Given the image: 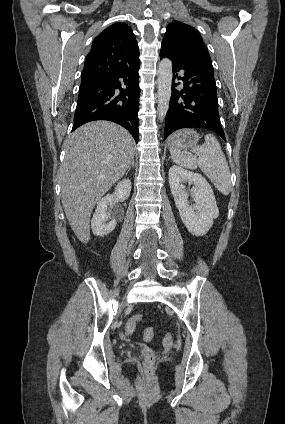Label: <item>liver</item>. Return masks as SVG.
Here are the masks:
<instances>
[{"mask_svg":"<svg viewBox=\"0 0 285 424\" xmlns=\"http://www.w3.org/2000/svg\"><path fill=\"white\" fill-rule=\"evenodd\" d=\"M64 148L62 205L73 232L86 244L92 210L127 171L134 158V140L116 123L92 121L75 130Z\"/></svg>","mask_w":285,"mask_h":424,"instance_id":"6515ba94","label":"liver"}]
</instances>
